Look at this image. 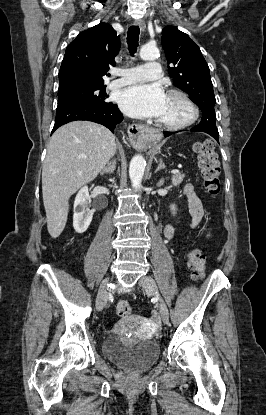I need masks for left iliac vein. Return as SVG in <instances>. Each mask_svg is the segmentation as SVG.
Masks as SVG:
<instances>
[{"label":"left iliac vein","instance_id":"obj_1","mask_svg":"<svg viewBox=\"0 0 266 415\" xmlns=\"http://www.w3.org/2000/svg\"><path fill=\"white\" fill-rule=\"evenodd\" d=\"M139 285L143 287L149 295H157L158 288L155 280L150 276H143L139 280ZM159 309L162 321L164 323L169 322V311L165 302L159 297Z\"/></svg>","mask_w":266,"mask_h":415}]
</instances>
